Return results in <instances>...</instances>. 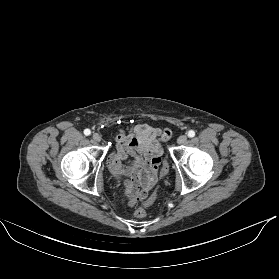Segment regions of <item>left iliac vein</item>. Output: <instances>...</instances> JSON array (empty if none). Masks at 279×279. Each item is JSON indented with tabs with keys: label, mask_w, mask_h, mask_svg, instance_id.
<instances>
[{
	"label": "left iliac vein",
	"mask_w": 279,
	"mask_h": 279,
	"mask_svg": "<svg viewBox=\"0 0 279 279\" xmlns=\"http://www.w3.org/2000/svg\"><path fill=\"white\" fill-rule=\"evenodd\" d=\"M187 142V136L186 135H181L177 139L178 144H185Z\"/></svg>",
	"instance_id": "1"
}]
</instances>
